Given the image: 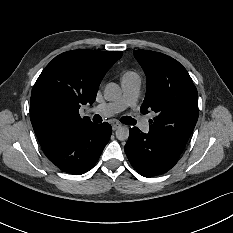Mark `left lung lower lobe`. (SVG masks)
Segmentation results:
<instances>
[{
	"mask_svg": "<svg viewBox=\"0 0 233 233\" xmlns=\"http://www.w3.org/2000/svg\"><path fill=\"white\" fill-rule=\"evenodd\" d=\"M185 146V143L145 134L133 127L124 150L134 169L150 178L169 171Z\"/></svg>",
	"mask_w": 233,
	"mask_h": 233,
	"instance_id": "0a47b994",
	"label": "left lung lower lobe"
}]
</instances>
